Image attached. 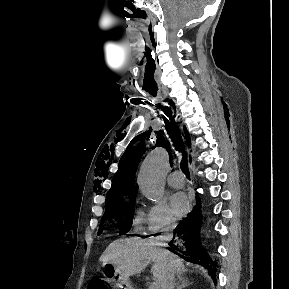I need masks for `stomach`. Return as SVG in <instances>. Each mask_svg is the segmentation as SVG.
I'll list each match as a JSON object with an SVG mask.
<instances>
[{
  "instance_id": "0dacf381",
  "label": "stomach",
  "mask_w": 289,
  "mask_h": 289,
  "mask_svg": "<svg viewBox=\"0 0 289 289\" xmlns=\"http://www.w3.org/2000/svg\"><path fill=\"white\" fill-rule=\"evenodd\" d=\"M102 269L108 280L118 289H133L129 277L120 274L117 269L109 262L102 263Z\"/></svg>"
}]
</instances>
